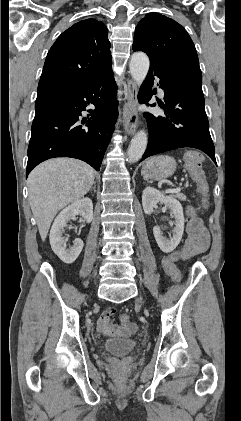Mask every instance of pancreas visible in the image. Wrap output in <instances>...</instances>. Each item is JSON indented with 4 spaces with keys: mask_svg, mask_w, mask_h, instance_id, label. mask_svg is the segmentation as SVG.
<instances>
[{
    "mask_svg": "<svg viewBox=\"0 0 241 421\" xmlns=\"http://www.w3.org/2000/svg\"><path fill=\"white\" fill-rule=\"evenodd\" d=\"M174 197L178 198L181 201H186V196L182 193H176Z\"/></svg>",
    "mask_w": 241,
    "mask_h": 421,
    "instance_id": "1",
    "label": "pancreas"
}]
</instances>
